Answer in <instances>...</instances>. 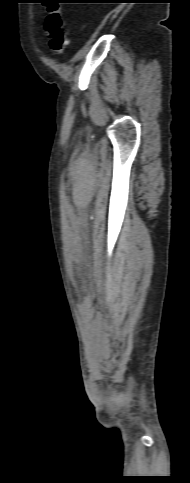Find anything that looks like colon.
I'll use <instances>...</instances> for the list:
<instances>
[{"label":"colon","instance_id":"colon-1","mask_svg":"<svg viewBox=\"0 0 190 483\" xmlns=\"http://www.w3.org/2000/svg\"><path fill=\"white\" fill-rule=\"evenodd\" d=\"M45 31L49 38V48L55 55H62L67 48L64 18L61 10L55 8L47 16Z\"/></svg>","mask_w":190,"mask_h":483}]
</instances>
